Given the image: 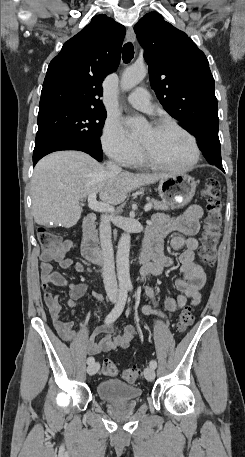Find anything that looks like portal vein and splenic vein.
<instances>
[{
    "label": "portal vein and splenic vein",
    "mask_w": 245,
    "mask_h": 457,
    "mask_svg": "<svg viewBox=\"0 0 245 457\" xmlns=\"http://www.w3.org/2000/svg\"><path fill=\"white\" fill-rule=\"evenodd\" d=\"M88 206L92 208V210H99V212H114L115 208L112 204H108V202H98L96 200V192H90L88 194ZM152 202H148L145 204L144 210H150L152 208Z\"/></svg>",
    "instance_id": "obj_1"
}]
</instances>
